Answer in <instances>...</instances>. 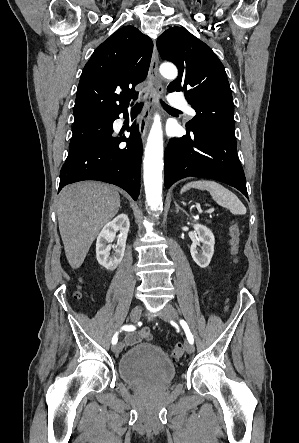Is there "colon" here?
Returning <instances> with one entry per match:
<instances>
[{"label": "colon", "instance_id": "5ec220e1", "mask_svg": "<svg viewBox=\"0 0 299 443\" xmlns=\"http://www.w3.org/2000/svg\"><path fill=\"white\" fill-rule=\"evenodd\" d=\"M239 241H240V229L237 224L232 223L230 226V251L235 261H237L238 253H239ZM184 354V345L181 343H177L173 350L172 356L175 359H179Z\"/></svg>", "mask_w": 299, "mask_h": 443}]
</instances>
